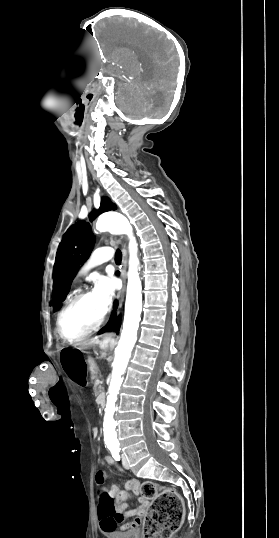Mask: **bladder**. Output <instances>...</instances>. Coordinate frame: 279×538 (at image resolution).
<instances>
[{"mask_svg": "<svg viewBox=\"0 0 279 538\" xmlns=\"http://www.w3.org/2000/svg\"><path fill=\"white\" fill-rule=\"evenodd\" d=\"M107 538H139L138 532H108Z\"/></svg>", "mask_w": 279, "mask_h": 538, "instance_id": "31cf9c89", "label": "bladder"}]
</instances>
